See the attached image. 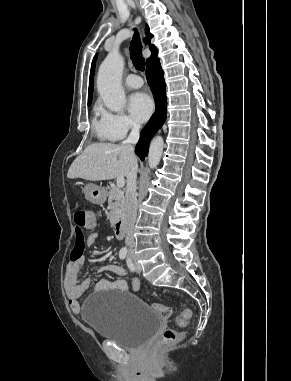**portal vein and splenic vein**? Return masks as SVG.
<instances>
[{"label":"portal vein and splenic vein","instance_id":"18ae733b","mask_svg":"<svg viewBox=\"0 0 291 381\" xmlns=\"http://www.w3.org/2000/svg\"><path fill=\"white\" fill-rule=\"evenodd\" d=\"M116 183H117L118 188L124 187V185H125L124 177H118Z\"/></svg>","mask_w":291,"mask_h":381}]
</instances>
